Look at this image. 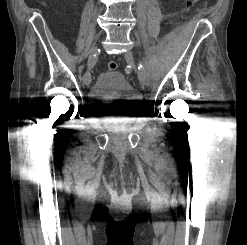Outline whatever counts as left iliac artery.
<instances>
[{
	"instance_id": "1",
	"label": "left iliac artery",
	"mask_w": 247,
	"mask_h": 245,
	"mask_svg": "<svg viewBox=\"0 0 247 245\" xmlns=\"http://www.w3.org/2000/svg\"><path fill=\"white\" fill-rule=\"evenodd\" d=\"M138 69H139V72H143L145 70V68L142 64L139 65Z\"/></svg>"
}]
</instances>
